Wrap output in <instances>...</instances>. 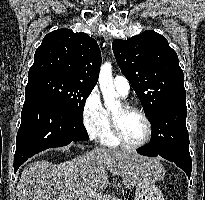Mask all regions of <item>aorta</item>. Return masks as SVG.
Wrapping results in <instances>:
<instances>
[{"label":"aorta","instance_id":"obj_1","mask_svg":"<svg viewBox=\"0 0 205 200\" xmlns=\"http://www.w3.org/2000/svg\"><path fill=\"white\" fill-rule=\"evenodd\" d=\"M100 89L103 94L104 105L110 109L119 104L118 94L115 91L112 78V66L111 63L105 62L100 70L99 74Z\"/></svg>","mask_w":205,"mask_h":200}]
</instances>
